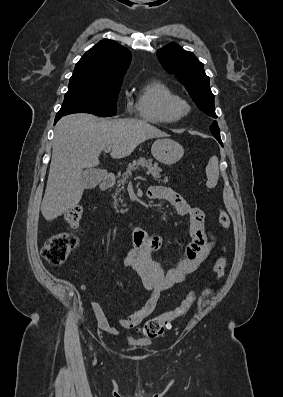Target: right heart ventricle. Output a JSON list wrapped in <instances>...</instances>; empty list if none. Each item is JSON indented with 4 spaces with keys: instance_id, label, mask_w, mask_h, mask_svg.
<instances>
[{
    "instance_id": "e07e8e85",
    "label": "right heart ventricle",
    "mask_w": 283,
    "mask_h": 397,
    "mask_svg": "<svg viewBox=\"0 0 283 397\" xmlns=\"http://www.w3.org/2000/svg\"><path fill=\"white\" fill-rule=\"evenodd\" d=\"M176 97L178 96L175 92L160 80L145 82L136 93V109L139 117L155 124L176 121L169 111V104Z\"/></svg>"
}]
</instances>
